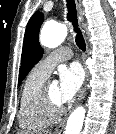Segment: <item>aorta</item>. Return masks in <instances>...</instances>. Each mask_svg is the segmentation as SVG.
<instances>
[{"instance_id": "762f6f07", "label": "aorta", "mask_w": 116, "mask_h": 134, "mask_svg": "<svg viewBox=\"0 0 116 134\" xmlns=\"http://www.w3.org/2000/svg\"><path fill=\"white\" fill-rule=\"evenodd\" d=\"M67 36V28L60 23H46L40 33V43L48 48L59 46ZM85 109L78 106L69 116L64 134H80L85 118Z\"/></svg>"}]
</instances>
